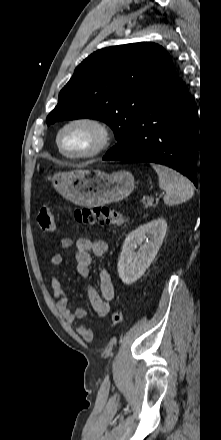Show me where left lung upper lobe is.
<instances>
[{
    "label": "left lung upper lobe",
    "instance_id": "left-lung-upper-lobe-1",
    "mask_svg": "<svg viewBox=\"0 0 221 440\" xmlns=\"http://www.w3.org/2000/svg\"><path fill=\"white\" fill-rule=\"evenodd\" d=\"M175 75L170 55L155 43L98 50L75 69L60 91L58 105L47 116V124L99 119L113 129L118 141L107 153L120 154L146 106Z\"/></svg>",
    "mask_w": 221,
    "mask_h": 440
}]
</instances>
